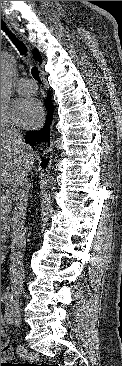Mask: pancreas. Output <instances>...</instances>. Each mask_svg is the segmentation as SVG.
<instances>
[{
  "label": "pancreas",
  "instance_id": "cf45deb5",
  "mask_svg": "<svg viewBox=\"0 0 122 366\" xmlns=\"http://www.w3.org/2000/svg\"><path fill=\"white\" fill-rule=\"evenodd\" d=\"M10 203V199L1 200V242L5 241L9 230L8 214Z\"/></svg>",
  "mask_w": 122,
  "mask_h": 366
}]
</instances>
